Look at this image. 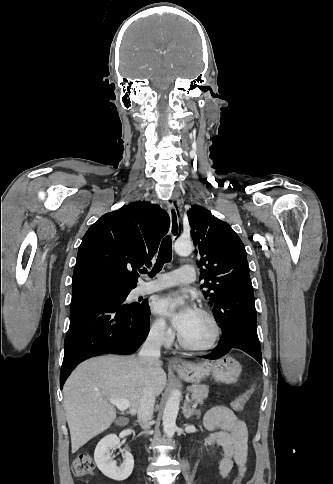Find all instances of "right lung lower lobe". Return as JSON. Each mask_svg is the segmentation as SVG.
Masks as SVG:
<instances>
[{
  "instance_id": "1",
  "label": "right lung lower lobe",
  "mask_w": 333,
  "mask_h": 484,
  "mask_svg": "<svg viewBox=\"0 0 333 484\" xmlns=\"http://www.w3.org/2000/svg\"><path fill=\"white\" fill-rule=\"evenodd\" d=\"M149 315V306L143 313L124 308L106 290L73 292L60 372L61 388L73 369L91 356L137 351L150 330Z\"/></svg>"
}]
</instances>
